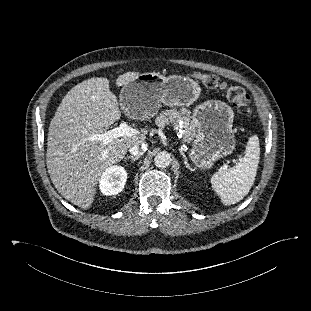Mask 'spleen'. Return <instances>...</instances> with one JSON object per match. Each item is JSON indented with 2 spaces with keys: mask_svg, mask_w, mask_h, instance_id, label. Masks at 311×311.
<instances>
[{
  "mask_svg": "<svg viewBox=\"0 0 311 311\" xmlns=\"http://www.w3.org/2000/svg\"><path fill=\"white\" fill-rule=\"evenodd\" d=\"M260 159L259 138H249L244 157L232 168L219 170L211 177L214 191L225 205L242 200L254 184Z\"/></svg>",
  "mask_w": 311,
  "mask_h": 311,
  "instance_id": "obj_1",
  "label": "spleen"
}]
</instances>
